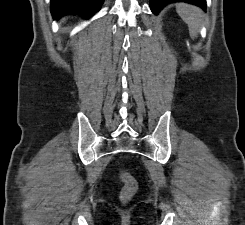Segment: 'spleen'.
<instances>
[{"mask_svg":"<svg viewBox=\"0 0 245 225\" xmlns=\"http://www.w3.org/2000/svg\"><path fill=\"white\" fill-rule=\"evenodd\" d=\"M176 10L179 16L188 25L190 36L195 38L202 24V11L198 7L184 3L179 4Z\"/></svg>","mask_w":245,"mask_h":225,"instance_id":"3e777b00","label":"spleen"}]
</instances>
